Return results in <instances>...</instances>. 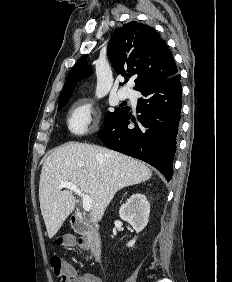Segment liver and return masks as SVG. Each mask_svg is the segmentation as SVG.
I'll use <instances>...</instances> for the list:
<instances>
[{"instance_id": "1", "label": "liver", "mask_w": 232, "mask_h": 282, "mask_svg": "<svg viewBox=\"0 0 232 282\" xmlns=\"http://www.w3.org/2000/svg\"><path fill=\"white\" fill-rule=\"evenodd\" d=\"M151 176V170L142 162L104 147L68 143L57 148L46 158L39 183L40 209L48 237H54L76 204L71 191L59 189L61 182H72L89 195L92 215L100 220L118 190Z\"/></svg>"}]
</instances>
